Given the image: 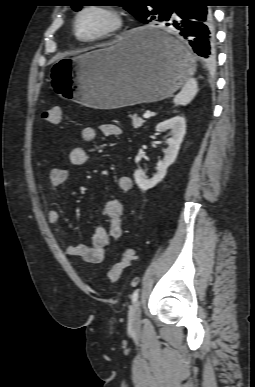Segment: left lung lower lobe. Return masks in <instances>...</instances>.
Here are the masks:
<instances>
[{"mask_svg":"<svg viewBox=\"0 0 255 387\" xmlns=\"http://www.w3.org/2000/svg\"><path fill=\"white\" fill-rule=\"evenodd\" d=\"M213 3V0H176L159 18L161 26L177 28L193 52L207 64L215 61V34L209 8ZM142 40L168 58L179 57L180 48L164 32H147Z\"/></svg>","mask_w":255,"mask_h":387,"instance_id":"obj_1","label":"left lung lower lobe"}]
</instances>
